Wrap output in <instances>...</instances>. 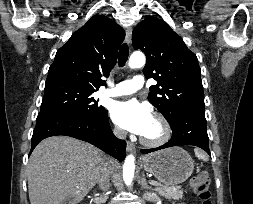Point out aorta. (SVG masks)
I'll return each instance as SVG.
<instances>
[{
	"label": "aorta",
	"instance_id": "762f6f07",
	"mask_svg": "<svg viewBox=\"0 0 253 204\" xmlns=\"http://www.w3.org/2000/svg\"><path fill=\"white\" fill-rule=\"evenodd\" d=\"M146 62L145 55L142 52H134L129 59L130 68L142 67ZM135 171V158L133 155H128L123 166V180L126 185H131Z\"/></svg>",
	"mask_w": 253,
	"mask_h": 204
}]
</instances>
